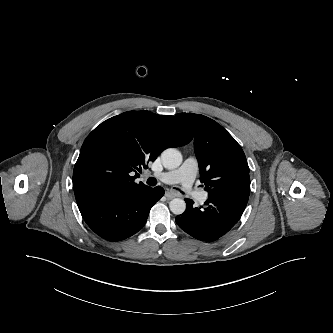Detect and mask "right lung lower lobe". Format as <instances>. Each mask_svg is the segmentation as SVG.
<instances>
[{"label":"right lung lower lobe","instance_id":"right-lung-lower-lobe-1","mask_svg":"<svg viewBox=\"0 0 333 333\" xmlns=\"http://www.w3.org/2000/svg\"><path fill=\"white\" fill-rule=\"evenodd\" d=\"M164 195L162 187L146 188L129 196L94 195L77 201L87 225L108 241H120L137 233L151 207Z\"/></svg>","mask_w":333,"mask_h":333}]
</instances>
